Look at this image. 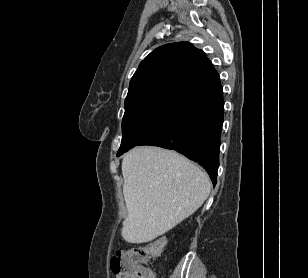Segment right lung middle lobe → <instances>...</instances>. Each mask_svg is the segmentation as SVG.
<instances>
[{"label": "right lung middle lobe", "mask_w": 308, "mask_h": 278, "mask_svg": "<svg viewBox=\"0 0 308 278\" xmlns=\"http://www.w3.org/2000/svg\"><path fill=\"white\" fill-rule=\"evenodd\" d=\"M178 112L150 111L143 112L122 121V142L117 156L122 155L134 146L162 129Z\"/></svg>", "instance_id": "obj_1"}]
</instances>
